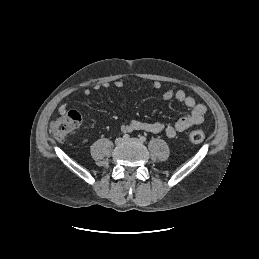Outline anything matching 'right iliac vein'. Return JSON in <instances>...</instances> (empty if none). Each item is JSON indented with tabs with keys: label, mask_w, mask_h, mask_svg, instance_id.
I'll use <instances>...</instances> for the list:
<instances>
[{
	"label": "right iliac vein",
	"mask_w": 259,
	"mask_h": 259,
	"mask_svg": "<svg viewBox=\"0 0 259 259\" xmlns=\"http://www.w3.org/2000/svg\"><path fill=\"white\" fill-rule=\"evenodd\" d=\"M123 142H124L123 138H120V137L115 140V144H116V145H120V144H122Z\"/></svg>",
	"instance_id": "right-iliac-vein-1"
}]
</instances>
